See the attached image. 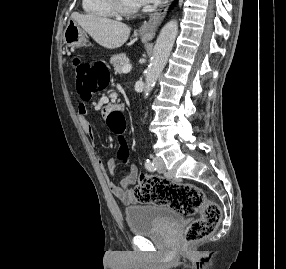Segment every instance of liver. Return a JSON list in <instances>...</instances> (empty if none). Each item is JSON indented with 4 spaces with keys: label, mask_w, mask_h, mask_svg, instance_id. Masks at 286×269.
Returning <instances> with one entry per match:
<instances>
[{
    "label": "liver",
    "mask_w": 286,
    "mask_h": 269,
    "mask_svg": "<svg viewBox=\"0 0 286 269\" xmlns=\"http://www.w3.org/2000/svg\"><path fill=\"white\" fill-rule=\"evenodd\" d=\"M70 18L77 22L98 44L108 49L121 47L130 35L131 29L126 24L105 17L75 12Z\"/></svg>",
    "instance_id": "6515ba94"
}]
</instances>
